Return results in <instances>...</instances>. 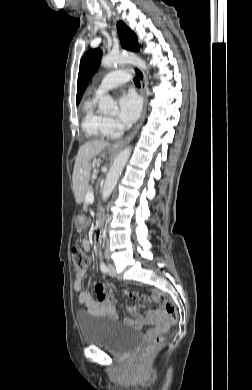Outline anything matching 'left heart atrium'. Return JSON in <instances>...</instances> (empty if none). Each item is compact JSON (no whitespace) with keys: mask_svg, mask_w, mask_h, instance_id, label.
<instances>
[{"mask_svg":"<svg viewBox=\"0 0 252 390\" xmlns=\"http://www.w3.org/2000/svg\"><path fill=\"white\" fill-rule=\"evenodd\" d=\"M141 111V101L133 93L122 94L118 100V118L125 124L137 120Z\"/></svg>","mask_w":252,"mask_h":390,"instance_id":"1","label":"left heart atrium"}]
</instances>
